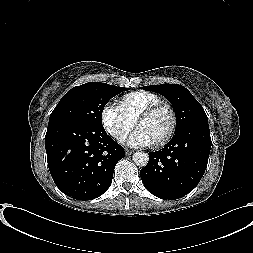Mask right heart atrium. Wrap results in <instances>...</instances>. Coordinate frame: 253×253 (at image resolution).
I'll return each mask as SVG.
<instances>
[{"label":"right heart atrium","mask_w":253,"mask_h":253,"mask_svg":"<svg viewBox=\"0 0 253 253\" xmlns=\"http://www.w3.org/2000/svg\"><path fill=\"white\" fill-rule=\"evenodd\" d=\"M101 121L105 130L118 141L124 140L135 124L116 102H110L103 108Z\"/></svg>","instance_id":"right-heart-atrium-1"}]
</instances>
